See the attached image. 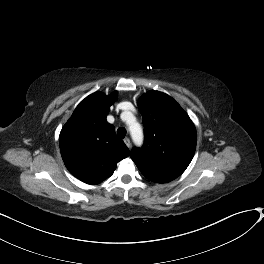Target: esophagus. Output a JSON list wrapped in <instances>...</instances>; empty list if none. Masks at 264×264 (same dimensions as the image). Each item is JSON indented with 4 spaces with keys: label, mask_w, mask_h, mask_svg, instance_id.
I'll use <instances>...</instances> for the list:
<instances>
[{
    "label": "esophagus",
    "mask_w": 264,
    "mask_h": 264,
    "mask_svg": "<svg viewBox=\"0 0 264 264\" xmlns=\"http://www.w3.org/2000/svg\"><path fill=\"white\" fill-rule=\"evenodd\" d=\"M124 143L125 145L129 148L131 146V142H130V139L129 138H125L124 139Z\"/></svg>",
    "instance_id": "obj_1"
}]
</instances>
